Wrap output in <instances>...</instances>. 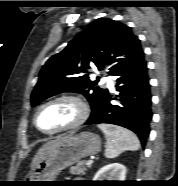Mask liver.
Here are the masks:
<instances>
[{"instance_id": "6515ba94", "label": "liver", "mask_w": 178, "mask_h": 186, "mask_svg": "<svg viewBox=\"0 0 178 186\" xmlns=\"http://www.w3.org/2000/svg\"><path fill=\"white\" fill-rule=\"evenodd\" d=\"M68 136H58L56 139L51 140L44 144L36 153L34 156L32 162H31V168H33L35 165H37L42 159L45 158V156L55 147H57L59 144H61L63 141L67 139Z\"/></svg>"}]
</instances>
